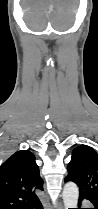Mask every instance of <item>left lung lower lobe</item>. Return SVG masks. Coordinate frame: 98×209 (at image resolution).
<instances>
[{"instance_id": "left-lung-lower-lobe-1", "label": "left lung lower lobe", "mask_w": 98, "mask_h": 209, "mask_svg": "<svg viewBox=\"0 0 98 209\" xmlns=\"http://www.w3.org/2000/svg\"><path fill=\"white\" fill-rule=\"evenodd\" d=\"M82 200H83L82 198L79 199V206L81 205V201H82ZM79 209H81V208H79ZM94 209H98V206H95V205H94Z\"/></svg>"}]
</instances>
